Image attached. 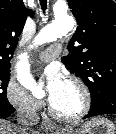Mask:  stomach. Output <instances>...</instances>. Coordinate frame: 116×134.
I'll return each mask as SVG.
<instances>
[{
    "label": "stomach",
    "mask_w": 116,
    "mask_h": 134,
    "mask_svg": "<svg viewBox=\"0 0 116 134\" xmlns=\"http://www.w3.org/2000/svg\"><path fill=\"white\" fill-rule=\"evenodd\" d=\"M61 134H116L115 126L105 118H92L78 129L67 128Z\"/></svg>",
    "instance_id": "obj_1"
}]
</instances>
